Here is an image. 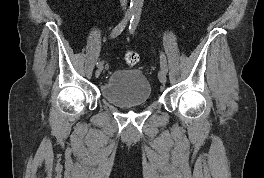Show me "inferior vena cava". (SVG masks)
<instances>
[{
    "label": "inferior vena cava",
    "instance_id": "obj_1",
    "mask_svg": "<svg viewBox=\"0 0 264 178\" xmlns=\"http://www.w3.org/2000/svg\"><path fill=\"white\" fill-rule=\"evenodd\" d=\"M121 6L123 9H126L127 6V0H120Z\"/></svg>",
    "mask_w": 264,
    "mask_h": 178
}]
</instances>
